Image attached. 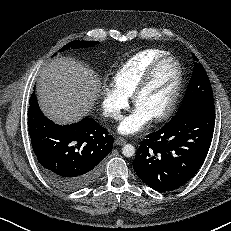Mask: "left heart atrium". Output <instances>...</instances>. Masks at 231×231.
I'll return each instance as SVG.
<instances>
[{
	"label": "left heart atrium",
	"mask_w": 231,
	"mask_h": 231,
	"mask_svg": "<svg viewBox=\"0 0 231 231\" xmlns=\"http://www.w3.org/2000/svg\"><path fill=\"white\" fill-rule=\"evenodd\" d=\"M151 117L141 110L135 108L128 116L120 123L118 130L122 134L131 135L141 131L150 121Z\"/></svg>",
	"instance_id": "obj_1"
}]
</instances>
